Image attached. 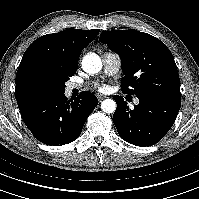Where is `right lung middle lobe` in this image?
<instances>
[{
  "label": "right lung middle lobe",
  "mask_w": 199,
  "mask_h": 199,
  "mask_svg": "<svg viewBox=\"0 0 199 199\" xmlns=\"http://www.w3.org/2000/svg\"><path fill=\"white\" fill-rule=\"evenodd\" d=\"M68 80L65 76L52 75L37 68L30 69L20 81L17 99L21 101L64 93Z\"/></svg>",
  "instance_id": "1"
}]
</instances>
